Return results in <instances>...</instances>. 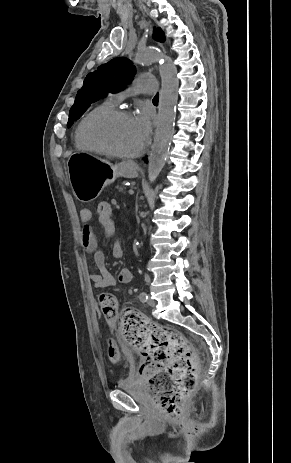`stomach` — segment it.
<instances>
[{
    "label": "stomach",
    "mask_w": 291,
    "mask_h": 463,
    "mask_svg": "<svg viewBox=\"0 0 291 463\" xmlns=\"http://www.w3.org/2000/svg\"><path fill=\"white\" fill-rule=\"evenodd\" d=\"M69 182L74 196L81 202L95 200L104 186L117 177L134 178L138 168L132 162L113 165L94 154L74 152L67 160Z\"/></svg>",
    "instance_id": "0dacf381"
}]
</instances>
